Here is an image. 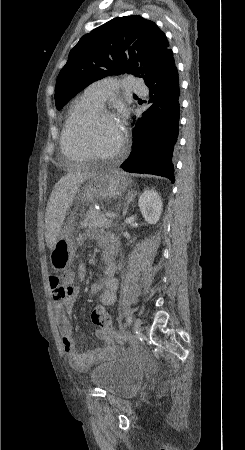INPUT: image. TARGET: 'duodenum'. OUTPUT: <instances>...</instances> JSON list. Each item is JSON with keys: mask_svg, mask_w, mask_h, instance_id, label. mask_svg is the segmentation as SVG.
<instances>
[{"mask_svg": "<svg viewBox=\"0 0 245 450\" xmlns=\"http://www.w3.org/2000/svg\"><path fill=\"white\" fill-rule=\"evenodd\" d=\"M102 263H103V266L105 267V269H107L110 262H109V259H108V258H104L103 261H102Z\"/></svg>", "mask_w": 245, "mask_h": 450, "instance_id": "duodenum-1", "label": "duodenum"}]
</instances>
